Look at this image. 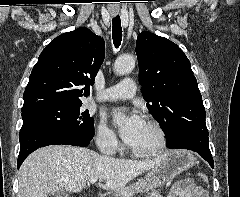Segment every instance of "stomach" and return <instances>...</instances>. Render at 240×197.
I'll return each mask as SVG.
<instances>
[{
    "label": "stomach",
    "instance_id": "1",
    "mask_svg": "<svg viewBox=\"0 0 240 197\" xmlns=\"http://www.w3.org/2000/svg\"><path fill=\"white\" fill-rule=\"evenodd\" d=\"M195 164L193 154L185 150H172L163 160L136 183L124 188L121 197H132L135 193L148 192L165 184L183 171L192 168Z\"/></svg>",
    "mask_w": 240,
    "mask_h": 197
}]
</instances>
